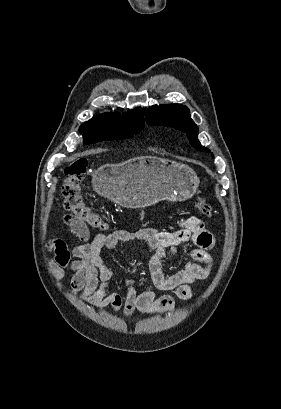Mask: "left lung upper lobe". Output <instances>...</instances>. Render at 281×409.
Here are the masks:
<instances>
[{
	"label": "left lung upper lobe",
	"mask_w": 281,
	"mask_h": 409,
	"mask_svg": "<svg viewBox=\"0 0 281 409\" xmlns=\"http://www.w3.org/2000/svg\"><path fill=\"white\" fill-rule=\"evenodd\" d=\"M147 123L164 125L186 132L190 144L200 151L210 152L198 140V127L190 117L189 109L180 104L152 106L145 110Z\"/></svg>",
	"instance_id": "left-lung-upper-lobe-1"
}]
</instances>
